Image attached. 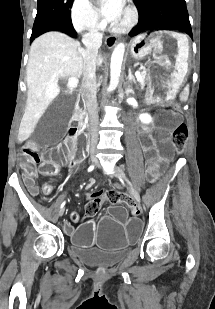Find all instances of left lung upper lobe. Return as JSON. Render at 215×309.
Segmentation results:
<instances>
[{"mask_svg": "<svg viewBox=\"0 0 215 309\" xmlns=\"http://www.w3.org/2000/svg\"><path fill=\"white\" fill-rule=\"evenodd\" d=\"M139 23L130 34L135 36L151 29L179 30L193 38L185 0H134Z\"/></svg>", "mask_w": 215, "mask_h": 309, "instance_id": "left-lung-upper-lobe-1", "label": "left lung upper lobe"}]
</instances>
